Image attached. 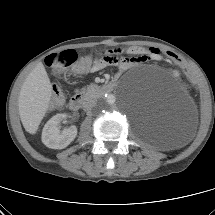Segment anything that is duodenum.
Wrapping results in <instances>:
<instances>
[{
	"label": "duodenum",
	"instance_id": "410a0bca",
	"mask_svg": "<svg viewBox=\"0 0 215 215\" xmlns=\"http://www.w3.org/2000/svg\"><path fill=\"white\" fill-rule=\"evenodd\" d=\"M116 86V82L112 81L109 82L108 84L104 85L100 89L96 90L95 92H89L85 94H78L74 97L69 102V108L73 111H77L81 109L85 104L90 102L95 96L100 95V94H105V93H110L113 91V89Z\"/></svg>",
	"mask_w": 215,
	"mask_h": 215
}]
</instances>
